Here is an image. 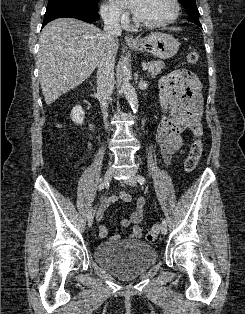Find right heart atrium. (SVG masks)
<instances>
[{"instance_id": "obj_1", "label": "right heart atrium", "mask_w": 245, "mask_h": 314, "mask_svg": "<svg viewBox=\"0 0 245 314\" xmlns=\"http://www.w3.org/2000/svg\"><path fill=\"white\" fill-rule=\"evenodd\" d=\"M101 15L106 22L113 25L124 23L126 20V14L109 3H104L101 6Z\"/></svg>"}]
</instances>
